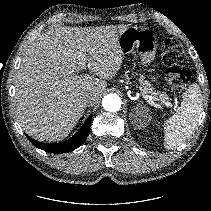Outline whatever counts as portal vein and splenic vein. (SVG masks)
I'll return each mask as SVG.
<instances>
[{
    "instance_id": "portal-vein-and-splenic-vein-1",
    "label": "portal vein and splenic vein",
    "mask_w": 211,
    "mask_h": 211,
    "mask_svg": "<svg viewBox=\"0 0 211 211\" xmlns=\"http://www.w3.org/2000/svg\"><path fill=\"white\" fill-rule=\"evenodd\" d=\"M78 58H79V60H80V64H81V66H82V69H84V68H85V58H84L81 54L78 55ZM141 95H142V97H143L145 100H147L151 105H153V106H155V107H157V108H161V106H160L159 104H156V103L153 102V100H155V98H153L152 96L147 95V94H144V93H142ZM165 104H166L167 106H172V104L169 103V102H166Z\"/></svg>"
}]
</instances>
